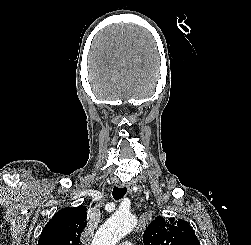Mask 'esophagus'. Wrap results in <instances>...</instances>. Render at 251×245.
<instances>
[{
	"label": "esophagus",
	"mask_w": 251,
	"mask_h": 245,
	"mask_svg": "<svg viewBox=\"0 0 251 245\" xmlns=\"http://www.w3.org/2000/svg\"><path fill=\"white\" fill-rule=\"evenodd\" d=\"M119 187H126L130 191L133 187V184L130 182H123L119 183Z\"/></svg>",
	"instance_id": "34e87169"
}]
</instances>
